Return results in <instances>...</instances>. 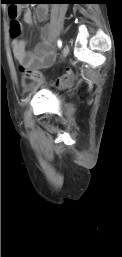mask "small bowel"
Returning a JSON list of instances; mask_svg holds the SVG:
<instances>
[{
    "label": "small bowel",
    "instance_id": "small-bowel-1",
    "mask_svg": "<svg viewBox=\"0 0 122 257\" xmlns=\"http://www.w3.org/2000/svg\"><path fill=\"white\" fill-rule=\"evenodd\" d=\"M18 13L22 12L25 23L33 25L35 20L38 22L46 21L48 17V7L39 5L35 9V14L25 7H19ZM9 12V10H8ZM41 41L36 45L33 51L27 50V42L23 39L13 38L11 47L16 60L25 68L33 70L49 68L54 62V53L52 50L51 29L45 25L40 34Z\"/></svg>",
    "mask_w": 122,
    "mask_h": 257
}]
</instances>
